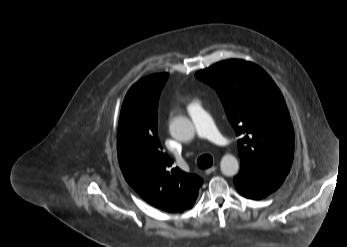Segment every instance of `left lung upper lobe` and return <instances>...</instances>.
<instances>
[{"label": "left lung upper lobe", "mask_w": 347, "mask_h": 247, "mask_svg": "<svg viewBox=\"0 0 347 247\" xmlns=\"http://www.w3.org/2000/svg\"><path fill=\"white\" fill-rule=\"evenodd\" d=\"M196 77L217 91L240 137V171L285 178L293 161L294 131L284 98L271 77L244 60L216 63Z\"/></svg>", "instance_id": "obj_1"}]
</instances>
